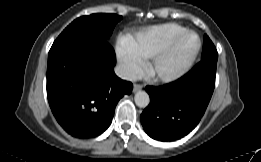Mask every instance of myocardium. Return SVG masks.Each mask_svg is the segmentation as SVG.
Instances as JSON below:
<instances>
[{
	"mask_svg": "<svg viewBox=\"0 0 261 162\" xmlns=\"http://www.w3.org/2000/svg\"><path fill=\"white\" fill-rule=\"evenodd\" d=\"M188 34H194L197 37V45L184 61V63L178 68L172 71L160 70L161 63L173 52L177 44ZM201 49V38L196 31L185 30L174 38H172L161 50L155 53L147 64V73L149 76L157 81L161 82H173L183 77L193 66Z\"/></svg>",
	"mask_w": 261,
	"mask_h": 162,
	"instance_id": "obj_1",
	"label": "myocardium"
}]
</instances>
